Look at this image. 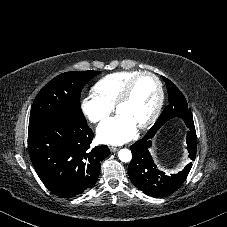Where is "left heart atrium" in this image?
<instances>
[{
    "instance_id": "1",
    "label": "left heart atrium",
    "mask_w": 227,
    "mask_h": 227,
    "mask_svg": "<svg viewBox=\"0 0 227 227\" xmlns=\"http://www.w3.org/2000/svg\"><path fill=\"white\" fill-rule=\"evenodd\" d=\"M136 125L124 115H116L104 120L97 128V138L106 144L118 145L132 139Z\"/></svg>"
}]
</instances>
